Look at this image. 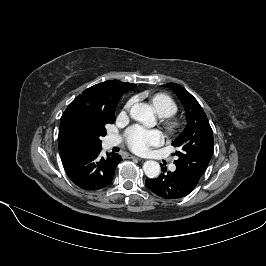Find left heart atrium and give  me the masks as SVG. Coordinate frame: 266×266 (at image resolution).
I'll use <instances>...</instances> for the list:
<instances>
[{"mask_svg":"<svg viewBox=\"0 0 266 266\" xmlns=\"http://www.w3.org/2000/svg\"><path fill=\"white\" fill-rule=\"evenodd\" d=\"M162 134L157 130H147L140 126H133L128 130L127 143L137 153H146L152 146L160 145Z\"/></svg>","mask_w":266,"mask_h":266,"instance_id":"obj_1","label":"left heart atrium"}]
</instances>
